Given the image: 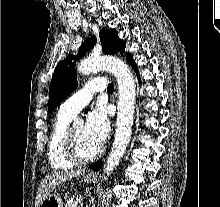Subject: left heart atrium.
Instances as JSON below:
<instances>
[{"instance_id": "39dd6f15", "label": "left heart atrium", "mask_w": 220, "mask_h": 207, "mask_svg": "<svg viewBox=\"0 0 220 207\" xmlns=\"http://www.w3.org/2000/svg\"><path fill=\"white\" fill-rule=\"evenodd\" d=\"M84 131L91 141L101 147L109 133V120L104 107L99 106L89 112Z\"/></svg>"}]
</instances>
